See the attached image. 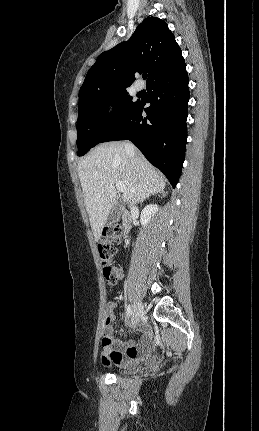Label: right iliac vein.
I'll list each match as a JSON object with an SVG mask.
<instances>
[{
  "instance_id": "obj_1",
  "label": "right iliac vein",
  "mask_w": 259,
  "mask_h": 431,
  "mask_svg": "<svg viewBox=\"0 0 259 431\" xmlns=\"http://www.w3.org/2000/svg\"><path fill=\"white\" fill-rule=\"evenodd\" d=\"M143 314H144V307L142 303L138 301L134 304V307H133L131 326H135L139 322Z\"/></svg>"
}]
</instances>
